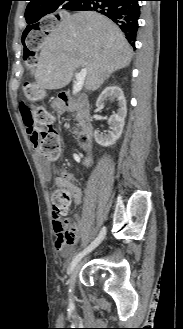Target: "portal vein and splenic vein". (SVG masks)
Listing matches in <instances>:
<instances>
[{
    "mask_svg": "<svg viewBox=\"0 0 183 329\" xmlns=\"http://www.w3.org/2000/svg\"><path fill=\"white\" fill-rule=\"evenodd\" d=\"M87 75V69L84 68L80 72L75 73L76 81L73 85V95H76L84 84L85 77Z\"/></svg>",
    "mask_w": 183,
    "mask_h": 329,
    "instance_id": "obj_1",
    "label": "portal vein and splenic vein"
}]
</instances>
